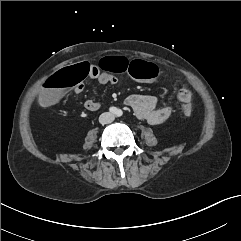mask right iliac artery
Segmentation results:
<instances>
[{"label":"right iliac artery","instance_id":"1","mask_svg":"<svg viewBox=\"0 0 241 241\" xmlns=\"http://www.w3.org/2000/svg\"><path fill=\"white\" fill-rule=\"evenodd\" d=\"M109 111L115 114L117 112V109L115 107H110Z\"/></svg>","mask_w":241,"mask_h":241}]
</instances>
